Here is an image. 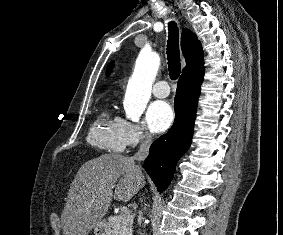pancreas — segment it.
<instances>
[{"instance_id":"pancreas-1","label":"pancreas","mask_w":283,"mask_h":235,"mask_svg":"<svg viewBox=\"0 0 283 235\" xmlns=\"http://www.w3.org/2000/svg\"><path fill=\"white\" fill-rule=\"evenodd\" d=\"M112 235H132L133 215H114L108 219Z\"/></svg>"}]
</instances>
